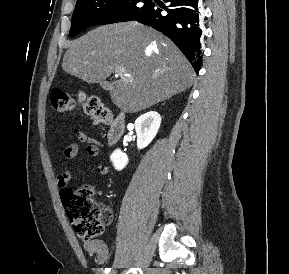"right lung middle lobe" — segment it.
<instances>
[{
    "mask_svg": "<svg viewBox=\"0 0 289 274\" xmlns=\"http://www.w3.org/2000/svg\"><path fill=\"white\" fill-rule=\"evenodd\" d=\"M151 4L149 0H77L69 35L93 25L134 20Z\"/></svg>",
    "mask_w": 289,
    "mask_h": 274,
    "instance_id": "right-lung-middle-lobe-1",
    "label": "right lung middle lobe"
}]
</instances>
